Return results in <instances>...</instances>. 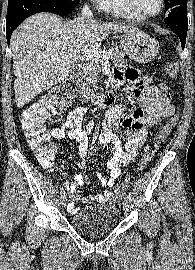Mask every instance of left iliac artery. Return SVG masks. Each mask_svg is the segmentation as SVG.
Instances as JSON below:
<instances>
[{"instance_id":"left-iliac-artery-1","label":"left iliac artery","mask_w":195,"mask_h":270,"mask_svg":"<svg viewBox=\"0 0 195 270\" xmlns=\"http://www.w3.org/2000/svg\"><path fill=\"white\" fill-rule=\"evenodd\" d=\"M126 198L131 201V195L130 194H127Z\"/></svg>"}]
</instances>
